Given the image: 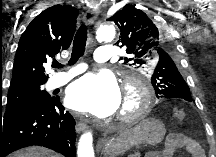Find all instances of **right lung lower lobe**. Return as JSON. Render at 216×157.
<instances>
[{
	"label": "right lung lower lobe",
	"mask_w": 216,
	"mask_h": 157,
	"mask_svg": "<svg viewBox=\"0 0 216 157\" xmlns=\"http://www.w3.org/2000/svg\"><path fill=\"white\" fill-rule=\"evenodd\" d=\"M75 120L59 102L28 106L0 117V157L27 147L39 145L76 157Z\"/></svg>",
	"instance_id": "98d812e1"
}]
</instances>
